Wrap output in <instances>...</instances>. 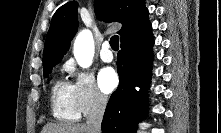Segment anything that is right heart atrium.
I'll list each match as a JSON object with an SVG mask.
<instances>
[{"instance_id":"d8ad5b80","label":"right heart atrium","mask_w":221,"mask_h":133,"mask_svg":"<svg viewBox=\"0 0 221 133\" xmlns=\"http://www.w3.org/2000/svg\"><path fill=\"white\" fill-rule=\"evenodd\" d=\"M65 70L74 78L72 86L80 114L89 115L103 110L107 98L98 89L93 74L80 71L71 63L65 65Z\"/></svg>"}]
</instances>
